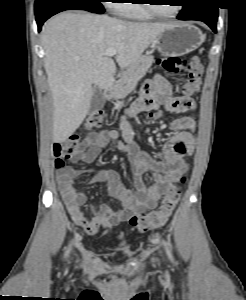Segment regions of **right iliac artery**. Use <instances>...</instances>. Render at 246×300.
I'll return each instance as SVG.
<instances>
[{
    "label": "right iliac artery",
    "mask_w": 246,
    "mask_h": 300,
    "mask_svg": "<svg viewBox=\"0 0 246 300\" xmlns=\"http://www.w3.org/2000/svg\"><path fill=\"white\" fill-rule=\"evenodd\" d=\"M70 247H71V246H69V248H68V250H67V252H66V255L69 253V251H70Z\"/></svg>",
    "instance_id": "82829eb1"
}]
</instances>
